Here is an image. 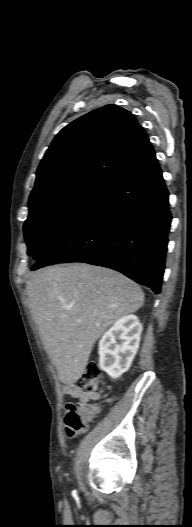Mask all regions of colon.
Instances as JSON below:
<instances>
[{
    "instance_id": "obj_1",
    "label": "colon",
    "mask_w": 192,
    "mask_h": 527,
    "mask_svg": "<svg viewBox=\"0 0 192 527\" xmlns=\"http://www.w3.org/2000/svg\"><path fill=\"white\" fill-rule=\"evenodd\" d=\"M77 386L88 392H96L103 389L101 380V369L96 362H89L77 380ZM98 404L84 402L68 403L66 405L65 427L70 438L75 437L87 428V423L91 421L99 412Z\"/></svg>"
}]
</instances>
